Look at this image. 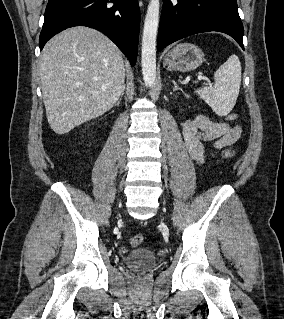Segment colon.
Wrapping results in <instances>:
<instances>
[{"label": "colon", "instance_id": "1", "mask_svg": "<svg viewBox=\"0 0 284 319\" xmlns=\"http://www.w3.org/2000/svg\"><path fill=\"white\" fill-rule=\"evenodd\" d=\"M226 118L229 121H234L238 118V115L236 113H231V114L227 115ZM222 155L226 158H229V157L234 156V151L231 149H225L222 152ZM143 241H144V236L141 234H136L133 237H131L130 244L134 247H137V246L141 245L143 243Z\"/></svg>", "mask_w": 284, "mask_h": 319}]
</instances>
